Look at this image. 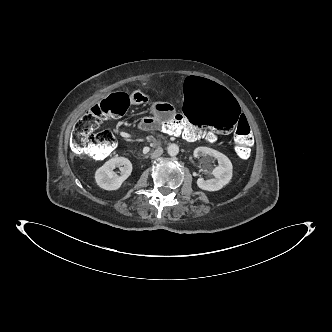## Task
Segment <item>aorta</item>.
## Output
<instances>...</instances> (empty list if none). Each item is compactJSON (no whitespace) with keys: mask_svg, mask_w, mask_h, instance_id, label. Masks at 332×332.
I'll use <instances>...</instances> for the list:
<instances>
[{"mask_svg":"<svg viewBox=\"0 0 332 332\" xmlns=\"http://www.w3.org/2000/svg\"><path fill=\"white\" fill-rule=\"evenodd\" d=\"M167 151L170 156H176L179 153V147L176 144H171Z\"/></svg>","mask_w":332,"mask_h":332,"instance_id":"aorta-1","label":"aorta"}]
</instances>
